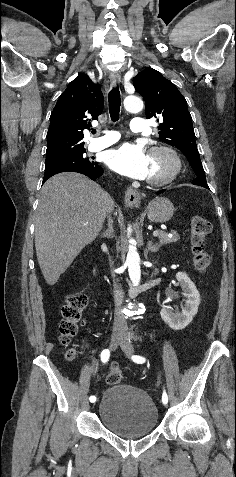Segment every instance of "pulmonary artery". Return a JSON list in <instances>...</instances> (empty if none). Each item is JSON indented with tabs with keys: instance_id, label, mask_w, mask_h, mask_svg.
<instances>
[{
	"instance_id": "1",
	"label": "pulmonary artery",
	"mask_w": 236,
	"mask_h": 477,
	"mask_svg": "<svg viewBox=\"0 0 236 477\" xmlns=\"http://www.w3.org/2000/svg\"><path fill=\"white\" fill-rule=\"evenodd\" d=\"M130 128L133 132H145L147 130V121L143 118H133L130 122ZM120 134L116 131L105 132L104 136L94 139L91 143L92 150H101L117 142Z\"/></svg>"
}]
</instances>
